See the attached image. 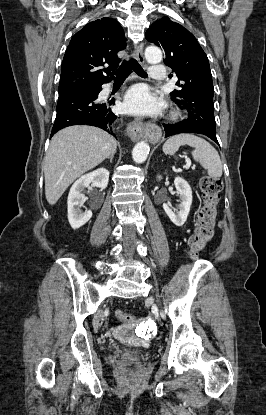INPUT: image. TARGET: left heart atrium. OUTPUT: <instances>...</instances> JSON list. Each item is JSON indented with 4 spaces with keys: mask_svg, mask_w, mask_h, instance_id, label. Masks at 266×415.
<instances>
[{
    "mask_svg": "<svg viewBox=\"0 0 266 415\" xmlns=\"http://www.w3.org/2000/svg\"><path fill=\"white\" fill-rule=\"evenodd\" d=\"M162 104L151 90L143 84L132 87L126 94L124 108L132 114L148 115L159 111Z\"/></svg>",
    "mask_w": 266,
    "mask_h": 415,
    "instance_id": "1",
    "label": "left heart atrium"
}]
</instances>
